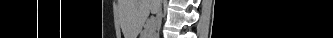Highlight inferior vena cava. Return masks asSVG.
Masks as SVG:
<instances>
[{
  "instance_id": "602c4592",
  "label": "inferior vena cava",
  "mask_w": 333,
  "mask_h": 38,
  "mask_svg": "<svg viewBox=\"0 0 333 38\" xmlns=\"http://www.w3.org/2000/svg\"><path fill=\"white\" fill-rule=\"evenodd\" d=\"M161 22H162V0H158V13H157L156 24L160 26Z\"/></svg>"
}]
</instances>
